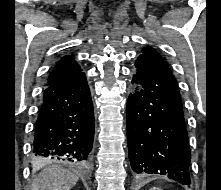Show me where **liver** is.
Returning <instances> with one entry per match:
<instances>
[{"label": "liver", "mask_w": 221, "mask_h": 190, "mask_svg": "<svg viewBox=\"0 0 221 190\" xmlns=\"http://www.w3.org/2000/svg\"><path fill=\"white\" fill-rule=\"evenodd\" d=\"M78 177L59 167L49 166L41 171L32 183V190H70Z\"/></svg>", "instance_id": "liver-1"}]
</instances>
